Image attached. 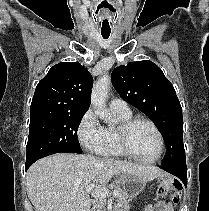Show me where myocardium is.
<instances>
[{"label": "myocardium", "mask_w": 209, "mask_h": 211, "mask_svg": "<svg viewBox=\"0 0 209 211\" xmlns=\"http://www.w3.org/2000/svg\"><path fill=\"white\" fill-rule=\"evenodd\" d=\"M139 123H146L149 126H151L158 137L159 151H158L157 156L152 159L139 158L137 155L134 154V152L130 148V143H129L130 134L132 130L134 129V127ZM117 132H118V140H119L120 148L122 152L124 153V155L129 157L130 159L142 164H154L157 161H159L160 158L162 157L164 153V149H165L164 137L159 127L151 119L146 118V117H141V116L131 117L130 119L121 122V124L118 127Z\"/></svg>", "instance_id": "myocardium-1"}]
</instances>
